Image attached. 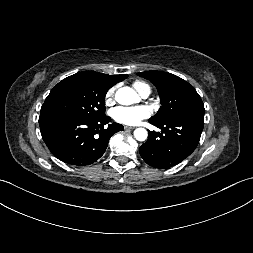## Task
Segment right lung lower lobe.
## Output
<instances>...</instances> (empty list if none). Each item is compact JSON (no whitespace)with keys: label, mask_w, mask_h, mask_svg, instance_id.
Masks as SVG:
<instances>
[{"label":"right lung lower lobe","mask_w":253,"mask_h":253,"mask_svg":"<svg viewBox=\"0 0 253 253\" xmlns=\"http://www.w3.org/2000/svg\"><path fill=\"white\" fill-rule=\"evenodd\" d=\"M110 117L97 119L44 116L39 117L42 138L51 153L59 160L77 166L96 162L105 152L109 138L123 130L118 123L104 125Z\"/></svg>","instance_id":"98d812e1"}]
</instances>
